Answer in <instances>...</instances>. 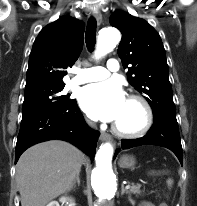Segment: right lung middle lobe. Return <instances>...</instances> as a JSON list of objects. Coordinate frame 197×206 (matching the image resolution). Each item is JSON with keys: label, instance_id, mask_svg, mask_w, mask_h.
<instances>
[{"label": "right lung middle lobe", "instance_id": "right-lung-middle-lobe-1", "mask_svg": "<svg viewBox=\"0 0 197 206\" xmlns=\"http://www.w3.org/2000/svg\"><path fill=\"white\" fill-rule=\"evenodd\" d=\"M64 86L42 85L25 88L22 119L45 111L60 109L72 103L74 100L61 94Z\"/></svg>", "mask_w": 197, "mask_h": 206}]
</instances>
